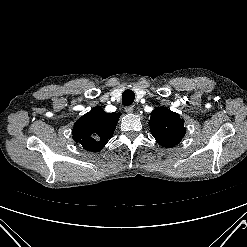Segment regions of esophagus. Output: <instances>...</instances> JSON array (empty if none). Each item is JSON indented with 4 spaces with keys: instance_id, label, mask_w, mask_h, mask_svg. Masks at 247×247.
<instances>
[{
    "instance_id": "esophagus-1",
    "label": "esophagus",
    "mask_w": 247,
    "mask_h": 247,
    "mask_svg": "<svg viewBox=\"0 0 247 247\" xmlns=\"http://www.w3.org/2000/svg\"><path fill=\"white\" fill-rule=\"evenodd\" d=\"M133 110H134L133 106H127V107H125V112L126 113H132Z\"/></svg>"
}]
</instances>
